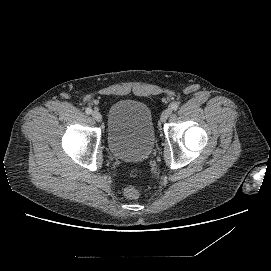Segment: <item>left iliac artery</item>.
I'll list each match as a JSON object with an SVG mask.
<instances>
[{"label":"left iliac artery","mask_w":271,"mask_h":271,"mask_svg":"<svg viewBox=\"0 0 271 271\" xmlns=\"http://www.w3.org/2000/svg\"><path fill=\"white\" fill-rule=\"evenodd\" d=\"M170 107L172 110H177L179 107V104L175 102V103H172Z\"/></svg>","instance_id":"44dca946"}]
</instances>
